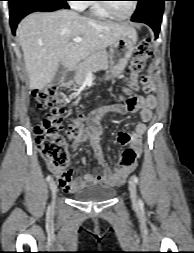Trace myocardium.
Instances as JSON below:
<instances>
[{
	"label": "myocardium",
	"instance_id": "myocardium-1",
	"mask_svg": "<svg viewBox=\"0 0 194 253\" xmlns=\"http://www.w3.org/2000/svg\"><path fill=\"white\" fill-rule=\"evenodd\" d=\"M133 5H132V9L131 11L125 15V16H119V15H116L112 10L111 8L108 6V3H105V2H101L99 3V6L101 7V9L111 18L115 19V20H119V21H124V20H128L130 19L134 13L136 12L137 10V7H138V3L136 0H133Z\"/></svg>",
	"mask_w": 194,
	"mask_h": 253
}]
</instances>
